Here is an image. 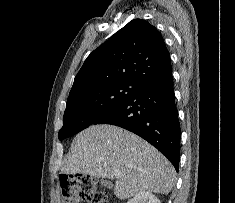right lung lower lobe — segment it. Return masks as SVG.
I'll return each mask as SVG.
<instances>
[{
	"label": "right lung lower lobe",
	"instance_id": "right-lung-lower-lobe-1",
	"mask_svg": "<svg viewBox=\"0 0 235 203\" xmlns=\"http://www.w3.org/2000/svg\"><path fill=\"white\" fill-rule=\"evenodd\" d=\"M171 69L141 83L127 100L94 125H116L139 135L156 147L178 172L180 123Z\"/></svg>",
	"mask_w": 235,
	"mask_h": 203
}]
</instances>
